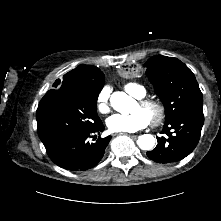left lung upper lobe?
<instances>
[{
  "instance_id": "left-lung-upper-lobe-1",
  "label": "left lung upper lobe",
  "mask_w": 221,
  "mask_h": 221,
  "mask_svg": "<svg viewBox=\"0 0 221 221\" xmlns=\"http://www.w3.org/2000/svg\"><path fill=\"white\" fill-rule=\"evenodd\" d=\"M146 74L154 84L166 112V122L196 108H202L203 96L193 72L180 60L162 55L153 56L146 63ZM176 151L174 145L165 146V158Z\"/></svg>"
}]
</instances>
